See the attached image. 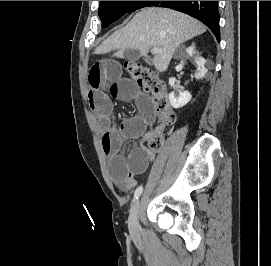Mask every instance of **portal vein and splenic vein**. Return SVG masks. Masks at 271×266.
Wrapping results in <instances>:
<instances>
[{"mask_svg":"<svg viewBox=\"0 0 271 266\" xmlns=\"http://www.w3.org/2000/svg\"><path fill=\"white\" fill-rule=\"evenodd\" d=\"M152 51H153L154 54H157V53L161 52V49H159V48H157V47H154V48L152 49Z\"/></svg>","mask_w":271,"mask_h":266,"instance_id":"obj_1","label":"portal vein and splenic vein"}]
</instances>
